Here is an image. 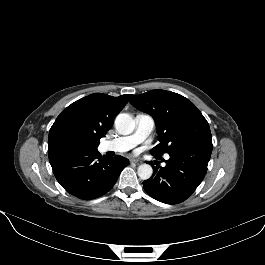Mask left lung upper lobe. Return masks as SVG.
<instances>
[{
    "instance_id": "1",
    "label": "left lung upper lobe",
    "mask_w": 265,
    "mask_h": 265,
    "mask_svg": "<svg viewBox=\"0 0 265 265\" xmlns=\"http://www.w3.org/2000/svg\"><path fill=\"white\" fill-rule=\"evenodd\" d=\"M153 116L160 144L152 154L169 153L188 143L211 138L209 124L198 108L184 96L165 90L132 95L129 101Z\"/></svg>"
}]
</instances>
